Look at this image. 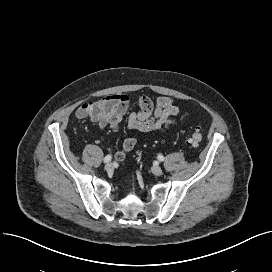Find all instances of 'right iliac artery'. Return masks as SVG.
Returning a JSON list of instances; mask_svg holds the SVG:
<instances>
[{"label":"right iliac artery","mask_w":272,"mask_h":272,"mask_svg":"<svg viewBox=\"0 0 272 272\" xmlns=\"http://www.w3.org/2000/svg\"><path fill=\"white\" fill-rule=\"evenodd\" d=\"M112 159V156L111 155H107L105 158H104V163H107L109 161H111Z\"/></svg>","instance_id":"82829eb1"}]
</instances>
